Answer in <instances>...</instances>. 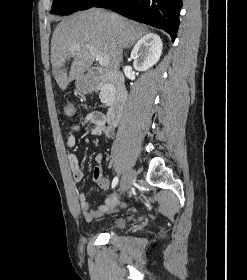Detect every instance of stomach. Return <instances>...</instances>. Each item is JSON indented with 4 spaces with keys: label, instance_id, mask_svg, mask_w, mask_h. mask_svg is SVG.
<instances>
[{
    "label": "stomach",
    "instance_id": "obj_1",
    "mask_svg": "<svg viewBox=\"0 0 247 280\" xmlns=\"http://www.w3.org/2000/svg\"><path fill=\"white\" fill-rule=\"evenodd\" d=\"M76 87L79 91L86 93L91 90V85L84 80L83 77H78L76 80Z\"/></svg>",
    "mask_w": 247,
    "mask_h": 280
}]
</instances>
